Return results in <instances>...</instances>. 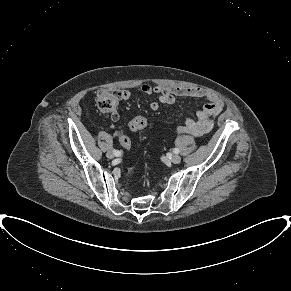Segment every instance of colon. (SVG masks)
<instances>
[{
	"label": "colon",
	"mask_w": 291,
	"mask_h": 291,
	"mask_svg": "<svg viewBox=\"0 0 291 291\" xmlns=\"http://www.w3.org/2000/svg\"><path fill=\"white\" fill-rule=\"evenodd\" d=\"M121 96V90L100 91L97 95V105L104 112L110 111L118 105ZM147 125V118L143 116H137L130 121L129 129L132 131H138L147 127ZM120 144L125 150H129L131 147V141L127 136H122L120 138Z\"/></svg>",
	"instance_id": "5ec220e1"
}]
</instances>
